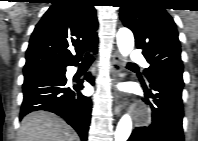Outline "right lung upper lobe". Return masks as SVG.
I'll return each instance as SVG.
<instances>
[{
	"instance_id": "cb5924a9",
	"label": "right lung upper lobe",
	"mask_w": 198,
	"mask_h": 141,
	"mask_svg": "<svg viewBox=\"0 0 198 141\" xmlns=\"http://www.w3.org/2000/svg\"><path fill=\"white\" fill-rule=\"evenodd\" d=\"M97 27L91 0H56L32 33L24 73L64 67L79 59L97 43Z\"/></svg>"
}]
</instances>
